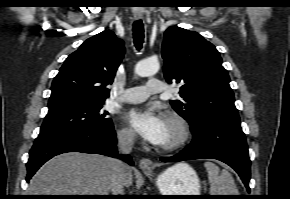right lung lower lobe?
I'll return each instance as SVG.
<instances>
[{"instance_id": "right-lung-lower-lobe-1", "label": "right lung lower lobe", "mask_w": 290, "mask_h": 199, "mask_svg": "<svg viewBox=\"0 0 290 199\" xmlns=\"http://www.w3.org/2000/svg\"><path fill=\"white\" fill-rule=\"evenodd\" d=\"M74 151L118 157L133 165L129 155H118L113 124L105 128H79L43 133L38 135L30 150L26 181H29L35 172L52 157Z\"/></svg>"}]
</instances>
